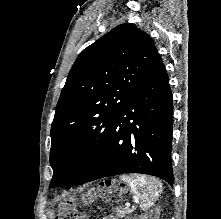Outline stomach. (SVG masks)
I'll return each instance as SVG.
<instances>
[{"label":"stomach","mask_w":221,"mask_h":219,"mask_svg":"<svg viewBox=\"0 0 221 219\" xmlns=\"http://www.w3.org/2000/svg\"><path fill=\"white\" fill-rule=\"evenodd\" d=\"M106 183H112L111 186L108 188V191H110V195H125V190H115L117 186L115 183H117V178H106Z\"/></svg>","instance_id":"0dacf381"}]
</instances>
